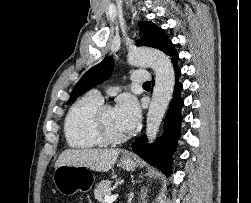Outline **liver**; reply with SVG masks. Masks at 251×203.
<instances>
[{
	"label": "liver",
	"instance_id": "liver-1",
	"mask_svg": "<svg viewBox=\"0 0 251 203\" xmlns=\"http://www.w3.org/2000/svg\"><path fill=\"white\" fill-rule=\"evenodd\" d=\"M119 149H67L55 162V169L62 165L84 166L96 172H108L115 164Z\"/></svg>",
	"mask_w": 251,
	"mask_h": 203
}]
</instances>
